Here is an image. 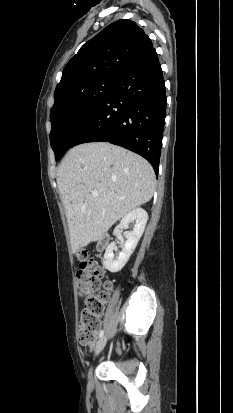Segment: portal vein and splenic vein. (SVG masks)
I'll use <instances>...</instances> for the list:
<instances>
[{
  "label": "portal vein and splenic vein",
  "mask_w": 233,
  "mask_h": 413,
  "mask_svg": "<svg viewBox=\"0 0 233 413\" xmlns=\"http://www.w3.org/2000/svg\"><path fill=\"white\" fill-rule=\"evenodd\" d=\"M98 192H93V197H98Z\"/></svg>",
  "instance_id": "18ae733b"
}]
</instances>
